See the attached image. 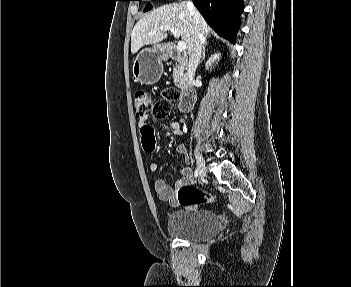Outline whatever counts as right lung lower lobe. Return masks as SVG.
<instances>
[{
  "instance_id": "obj_1",
  "label": "right lung lower lobe",
  "mask_w": 351,
  "mask_h": 287,
  "mask_svg": "<svg viewBox=\"0 0 351 287\" xmlns=\"http://www.w3.org/2000/svg\"><path fill=\"white\" fill-rule=\"evenodd\" d=\"M198 11L219 35L235 42L243 10L242 0H192Z\"/></svg>"
}]
</instances>
